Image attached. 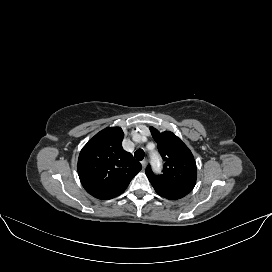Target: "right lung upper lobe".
I'll return each mask as SVG.
<instances>
[{
    "label": "right lung upper lobe",
    "mask_w": 272,
    "mask_h": 272,
    "mask_svg": "<svg viewBox=\"0 0 272 272\" xmlns=\"http://www.w3.org/2000/svg\"><path fill=\"white\" fill-rule=\"evenodd\" d=\"M120 127L106 128L91 138L80 152L78 174L85 190L97 199L123 193L141 164L122 148Z\"/></svg>",
    "instance_id": "right-lung-upper-lobe-1"
}]
</instances>
